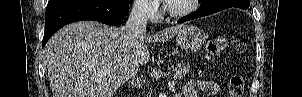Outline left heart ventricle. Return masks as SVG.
Segmentation results:
<instances>
[{
    "mask_svg": "<svg viewBox=\"0 0 302 97\" xmlns=\"http://www.w3.org/2000/svg\"><path fill=\"white\" fill-rule=\"evenodd\" d=\"M169 3L173 9L179 10V9L187 7L189 4V0H172Z\"/></svg>",
    "mask_w": 302,
    "mask_h": 97,
    "instance_id": "b2bd125f",
    "label": "left heart ventricle"
}]
</instances>
